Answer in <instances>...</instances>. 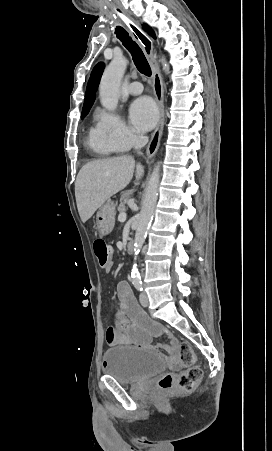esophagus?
<instances>
[{"label": "esophagus", "mask_w": 272, "mask_h": 451, "mask_svg": "<svg viewBox=\"0 0 272 451\" xmlns=\"http://www.w3.org/2000/svg\"><path fill=\"white\" fill-rule=\"evenodd\" d=\"M133 34L135 38L141 43L144 53L146 55V58L150 64V67L152 69V80H153V92L156 98V102L159 108V121L156 126V129L152 133L150 143L148 144L146 153L149 158L155 155L161 135L163 133V126H164V102H163V84H162V78L160 74V70L158 67V64L154 58L153 54V42L151 38L146 35L142 30L140 29H134Z\"/></svg>", "instance_id": "obj_1"}]
</instances>
